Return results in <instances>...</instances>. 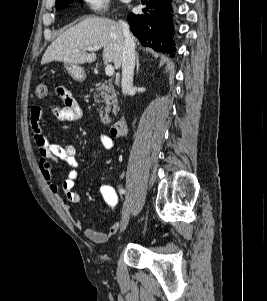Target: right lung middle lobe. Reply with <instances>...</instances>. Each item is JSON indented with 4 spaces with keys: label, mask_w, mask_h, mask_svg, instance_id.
Masks as SVG:
<instances>
[{
    "label": "right lung middle lobe",
    "mask_w": 267,
    "mask_h": 301,
    "mask_svg": "<svg viewBox=\"0 0 267 301\" xmlns=\"http://www.w3.org/2000/svg\"><path fill=\"white\" fill-rule=\"evenodd\" d=\"M74 0H57L56 1V8L62 9L72 3Z\"/></svg>",
    "instance_id": "right-lung-middle-lobe-1"
}]
</instances>
